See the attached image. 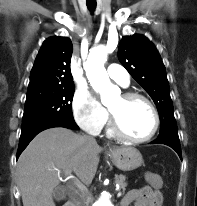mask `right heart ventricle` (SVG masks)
Wrapping results in <instances>:
<instances>
[{"mask_svg": "<svg viewBox=\"0 0 197 206\" xmlns=\"http://www.w3.org/2000/svg\"><path fill=\"white\" fill-rule=\"evenodd\" d=\"M108 134L112 135V130L111 129H108Z\"/></svg>", "mask_w": 197, "mask_h": 206, "instance_id": "e07e8e85", "label": "right heart ventricle"}]
</instances>
